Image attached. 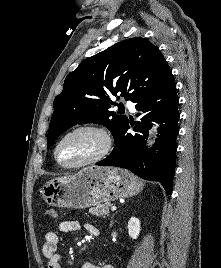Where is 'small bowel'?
<instances>
[{"label": "small bowel", "mask_w": 221, "mask_h": 268, "mask_svg": "<svg viewBox=\"0 0 221 268\" xmlns=\"http://www.w3.org/2000/svg\"><path fill=\"white\" fill-rule=\"evenodd\" d=\"M78 223L76 221H62L59 223V229L62 232L75 231L78 228ZM85 230L92 236L98 235V229L90 223L85 224ZM59 248V234L55 230H49L45 233L44 244L42 252L44 257L47 259L48 268H62L61 267V257L58 251ZM82 268H114L110 264L100 263H84Z\"/></svg>", "instance_id": "small-bowel-1"}]
</instances>
